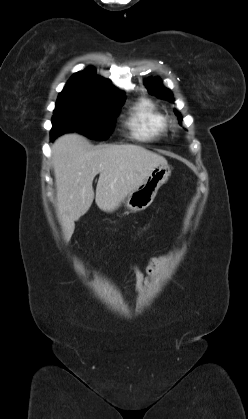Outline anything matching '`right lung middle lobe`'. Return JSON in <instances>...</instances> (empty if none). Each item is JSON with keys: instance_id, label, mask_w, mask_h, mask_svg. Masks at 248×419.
<instances>
[{"instance_id": "1", "label": "right lung middle lobe", "mask_w": 248, "mask_h": 419, "mask_svg": "<svg viewBox=\"0 0 248 419\" xmlns=\"http://www.w3.org/2000/svg\"><path fill=\"white\" fill-rule=\"evenodd\" d=\"M124 101L125 96L101 100L60 93L52 117L51 139L68 131H77L92 139L106 140Z\"/></svg>"}]
</instances>
